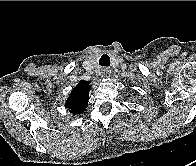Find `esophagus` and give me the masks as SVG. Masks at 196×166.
I'll list each match as a JSON object with an SVG mask.
<instances>
[{
	"instance_id": "1",
	"label": "esophagus",
	"mask_w": 196,
	"mask_h": 166,
	"mask_svg": "<svg viewBox=\"0 0 196 166\" xmlns=\"http://www.w3.org/2000/svg\"><path fill=\"white\" fill-rule=\"evenodd\" d=\"M102 73H103V76H104L105 78H109V77L111 76V69H109V68H104V69L102 70Z\"/></svg>"
}]
</instances>
